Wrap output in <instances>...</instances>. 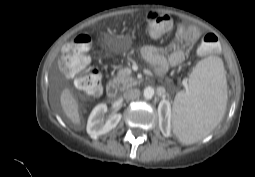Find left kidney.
<instances>
[{
	"label": "left kidney",
	"mask_w": 255,
	"mask_h": 177,
	"mask_svg": "<svg viewBox=\"0 0 255 177\" xmlns=\"http://www.w3.org/2000/svg\"><path fill=\"white\" fill-rule=\"evenodd\" d=\"M158 115L163 129L168 135L170 133V121H171V105L169 101L163 100L160 102L158 107Z\"/></svg>",
	"instance_id": "left-kidney-1"
}]
</instances>
